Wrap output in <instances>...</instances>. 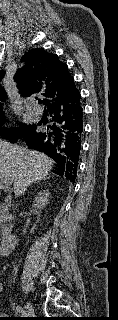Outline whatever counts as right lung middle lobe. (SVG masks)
I'll return each instance as SVG.
<instances>
[{
    "instance_id": "right-lung-middle-lobe-1",
    "label": "right lung middle lobe",
    "mask_w": 118,
    "mask_h": 320,
    "mask_svg": "<svg viewBox=\"0 0 118 320\" xmlns=\"http://www.w3.org/2000/svg\"><path fill=\"white\" fill-rule=\"evenodd\" d=\"M2 123V118L0 119V124ZM23 128H0V132L5 131L6 133H2L3 135L7 136L8 139L15 143L20 137H25L36 130L37 125H25L22 124Z\"/></svg>"
}]
</instances>
